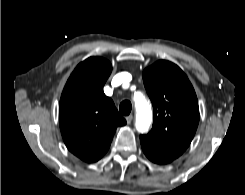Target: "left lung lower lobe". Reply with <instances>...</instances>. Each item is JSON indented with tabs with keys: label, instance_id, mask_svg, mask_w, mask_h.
<instances>
[{
	"label": "left lung lower lobe",
	"instance_id": "0a47b994",
	"mask_svg": "<svg viewBox=\"0 0 245 195\" xmlns=\"http://www.w3.org/2000/svg\"><path fill=\"white\" fill-rule=\"evenodd\" d=\"M140 142L144 154L154 163L167 164L178 158L183 151L162 147L156 142L147 139L144 136H140Z\"/></svg>",
	"mask_w": 245,
	"mask_h": 195
}]
</instances>
